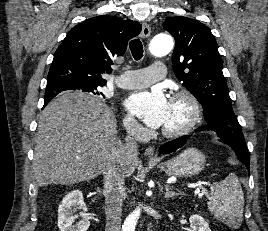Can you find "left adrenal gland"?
Listing matches in <instances>:
<instances>
[{"label":"left adrenal gland","instance_id":"left-adrenal-gland-1","mask_svg":"<svg viewBox=\"0 0 268 231\" xmlns=\"http://www.w3.org/2000/svg\"><path fill=\"white\" fill-rule=\"evenodd\" d=\"M165 190H166L165 195H164L165 199H170L178 195V193L172 191V187L169 185L165 186Z\"/></svg>","mask_w":268,"mask_h":231}]
</instances>
